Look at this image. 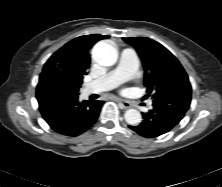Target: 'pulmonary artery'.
Segmentation results:
<instances>
[{"label":"pulmonary artery","instance_id":"pulmonary-artery-1","mask_svg":"<svg viewBox=\"0 0 222 187\" xmlns=\"http://www.w3.org/2000/svg\"><path fill=\"white\" fill-rule=\"evenodd\" d=\"M138 67L136 53L131 48H125L121 51L120 61L117 68L104 77L85 85L82 93L88 96L93 93H100L116 87L122 81L134 76ZM149 106L152 102L149 101Z\"/></svg>","mask_w":222,"mask_h":187}]
</instances>
